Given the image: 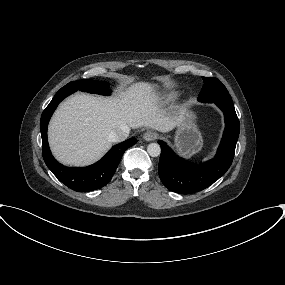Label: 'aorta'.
Segmentation results:
<instances>
[{"label": "aorta", "instance_id": "aorta-1", "mask_svg": "<svg viewBox=\"0 0 285 285\" xmlns=\"http://www.w3.org/2000/svg\"><path fill=\"white\" fill-rule=\"evenodd\" d=\"M147 152L150 156L152 157H157L160 155L161 153V148H160V145L157 144V143H150L148 146H147Z\"/></svg>", "mask_w": 285, "mask_h": 285}]
</instances>
